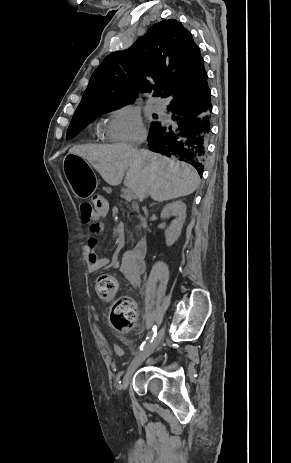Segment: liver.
<instances>
[{
    "mask_svg": "<svg viewBox=\"0 0 291 463\" xmlns=\"http://www.w3.org/2000/svg\"><path fill=\"white\" fill-rule=\"evenodd\" d=\"M68 153L91 163L111 186L119 185L126 172L124 185L139 200L148 195L161 202L187 196L200 183V177L192 166L124 143L78 145Z\"/></svg>",
    "mask_w": 291,
    "mask_h": 463,
    "instance_id": "6515ba94",
    "label": "liver"
}]
</instances>
